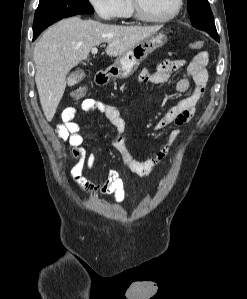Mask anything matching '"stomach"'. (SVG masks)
Instances as JSON below:
<instances>
[{"label":"stomach","mask_w":247,"mask_h":299,"mask_svg":"<svg viewBox=\"0 0 247 299\" xmlns=\"http://www.w3.org/2000/svg\"><path fill=\"white\" fill-rule=\"evenodd\" d=\"M165 43H167V36L163 32L144 39L115 60L110 69L111 76L118 79L131 76L149 54Z\"/></svg>","instance_id":"1"}]
</instances>
